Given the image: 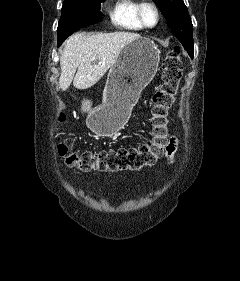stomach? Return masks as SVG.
I'll return each mask as SVG.
<instances>
[{"label":"stomach","mask_w":240,"mask_h":281,"mask_svg":"<svg viewBox=\"0 0 240 281\" xmlns=\"http://www.w3.org/2000/svg\"><path fill=\"white\" fill-rule=\"evenodd\" d=\"M160 51L153 41L139 37L129 42L110 68L102 105L84 103L87 126L99 136H112L126 122L142 90L154 78Z\"/></svg>","instance_id":"obj_1"}]
</instances>
